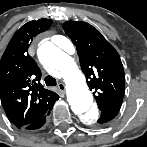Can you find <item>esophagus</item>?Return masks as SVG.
Instances as JSON below:
<instances>
[{"label":"esophagus","mask_w":147,"mask_h":147,"mask_svg":"<svg viewBox=\"0 0 147 147\" xmlns=\"http://www.w3.org/2000/svg\"><path fill=\"white\" fill-rule=\"evenodd\" d=\"M57 87H58V89H59L60 91H62V92H65V90H66L65 84L62 83V82L58 83Z\"/></svg>","instance_id":"34e87169"}]
</instances>
